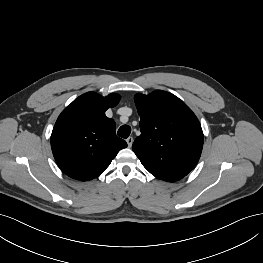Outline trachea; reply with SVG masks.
<instances>
[{
  "label": "trachea",
  "mask_w": 263,
  "mask_h": 263,
  "mask_svg": "<svg viewBox=\"0 0 263 263\" xmlns=\"http://www.w3.org/2000/svg\"><path fill=\"white\" fill-rule=\"evenodd\" d=\"M131 133V127L128 125H122L117 134L122 138H128Z\"/></svg>",
  "instance_id": "trachea-1"
}]
</instances>
